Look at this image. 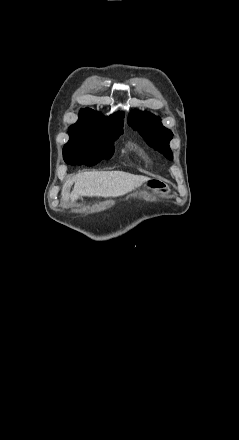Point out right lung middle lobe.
I'll return each instance as SVG.
<instances>
[{
	"mask_svg": "<svg viewBox=\"0 0 239 440\" xmlns=\"http://www.w3.org/2000/svg\"><path fill=\"white\" fill-rule=\"evenodd\" d=\"M123 132L122 126L94 121H77L69 127L70 139L63 151L78 147H93L101 151H114V141Z\"/></svg>",
	"mask_w": 239,
	"mask_h": 440,
	"instance_id": "dd1d6c3e",
	"label": "right lung middle lobe"
}]
</instances>
